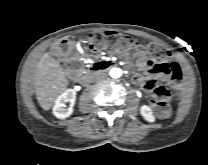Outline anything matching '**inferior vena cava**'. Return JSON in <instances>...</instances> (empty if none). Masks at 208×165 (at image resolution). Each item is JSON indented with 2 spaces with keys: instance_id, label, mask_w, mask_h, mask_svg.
I'll use <instances>...</instances> for the list:
<instances>
[{
  "instance_id": "obj_1",
  "label": "inferior vena cava",
  "mask_w": 208,
  "mask_h": 165,
  "mask_svg": "<svg viewBox=\"0 0 208 165\" xmlns=\"http://www.w3.org/2000/svg\"><path fill=\"white\" fill-rule=\"evenodd\" d=\"M106 78V74L104 72H100L94 76V79L97 81L103 80Z\"/></svg>"
}]
</instances>
